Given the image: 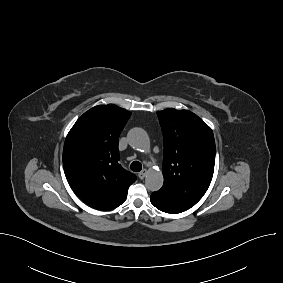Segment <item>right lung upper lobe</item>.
Segmentation results:
<instances>
[{"label": "right lung upper lobe", "instance_id": "right-lung-upper-lobe-1", "mask_svg": "<svg viewBox=\"0 0 283 283\" xmlns=\"http://www.w3.org/2000/svg\"><path fill=\"white\" fill-rule=\"evenodd\" d=\"M131 112L113 104L85 112L69 131L63 167L73 191L89 206L112 210L127 198L136 176L121 167L118 138Z\"/></svg>", "mask_w": 283, "mask_h": 283}]
</instances>
